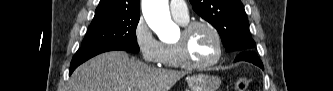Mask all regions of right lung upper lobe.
<instances>
[{"instance_id": "1", "label": "right lung upper lobe", "mask_w": 333, "mask_h": 91, "mask_svg": "<svg viewBox=\"0 0 333 91\" xmlns=\"http://www.w3.org/2000/svg\"><path fill=\"white\" fill-rule=\"evenodd\" d=\"M140 0H100L95 11L96 17L122 14H140Z\"/></svg>"}]
</instances>
